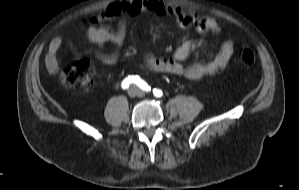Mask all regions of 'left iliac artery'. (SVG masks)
Instances as JSON below:
<instances>
[{"instance_id":"1","label":"left iliac artery","mask_w":299,"mask_h":190,"mask_svg":"<svg viewBox=\"0 0 299 190\" xmlns=\"http://www.w3.org/2000/svg\"><path fill=\"white\" fill-rule=\"evenodd\" d=\"M153 93L155 96H161L162 92L158 89H153Z\"/></svg>"}]
</instances>
